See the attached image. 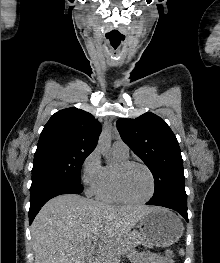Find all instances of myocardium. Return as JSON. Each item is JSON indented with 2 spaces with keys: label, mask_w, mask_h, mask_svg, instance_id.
Returning a JSON list of instances; mask_svg holds the SVG:
<instances>
[{
  "label": "myocardium",
  "mask_w": 220,
  "mask_h": 263,
  "mask_svg": "<svg viewBox=\"0 0 220 263\" xmlns=\"http://www.w3.org/2000/svg\"><path fill=\"white\" fill-rule=\"evenodd\" d=\"M132 166L142 167L148 173L150 180H151V190H150L149 195L140 200H132L128 198L124 194L122 185H121V176H122L123 171ZM113 187H114L116 196L121 202H124L126 204H131V205H139V204L147 203L148 201L152 199V197L154 196L155 190H156V180H155L153 172L146 164L139 162V161H134V160H124V161L119 162L116 165V167H114Z\"/></svg>",
  "instance_id": "f54148a6"
}]
</instances>
